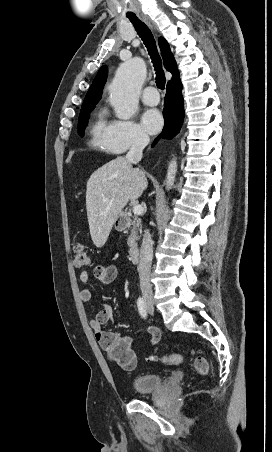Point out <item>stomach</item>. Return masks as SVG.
I'll use <instances>...</instances> for the list:
<instances>
[{"label":"stomach","instance_id":"obj_1","mask_svg":"<svg viewBox=\"0 0 272 452\" xmlns=\"http://www.w3.org/2000/svg\"><path fill=\"white\" fill-rule=\"evenodd\" d=\"M124 226H125L124 216H123V214L121 213V214L117 217V219H116V221H115V227H116L117 229H122Z\"/></svg>","mask_w":272,"mask_h":452}]
</instances>
